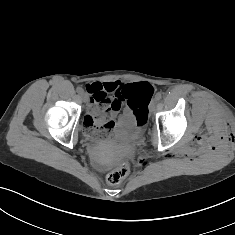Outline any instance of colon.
I'll return each instance as SVG.
<instances>
[{"label": "colon", "instance_id": "5ec220e1", "mask_svg": "<svg viewBox=\"0 0 235 235\" xmlns=\"http://www.w3.org/2000/svg\"><path fill=\"white\" fill-rule=\"evenodd\" d=\"M153 88L148 83H136L128 86L123 92V99L127 106L134 111L136 123L143 126L148 120L147 100L150 98ZM111 116L108 110H102L94 116L86 117L85 124L92 131L106 137L108 134L101 132L102 128L109 123ZM129 172V164L122 162L113 168L106 177L109 185H117L123 181Z\"/></svg>", "mask_w": 235, "mask_h": 235}]
</instances>
